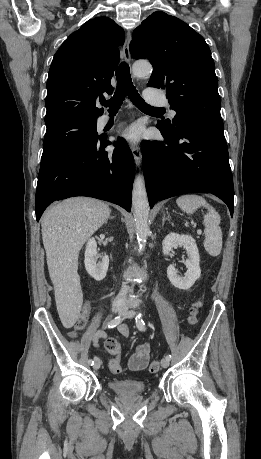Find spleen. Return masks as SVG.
<instances>
[{
	"mask_svg": "<svg viewBox=\"0 0 261 459\" xmlns=\"http://www.w3.org/2000/svg\"><path fill=\"white\" fill-rule=\"evenodd\" d=\"M176 203L187 214H193L200 207L208 210L203 219L205 226L204 248L209 255L218 256L222 249V231L219 226L221 219L218 212L202 196L196 194L182 195L177 198Z\"/></svg>",
	"mask_w": 261,
	"mask_h": 459,
	"instance_id": "1",
	"label": "spleen"
}]
</instances>
